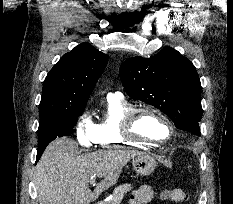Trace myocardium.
I'll return each mask as SVG.
<instances>
[{
  "label": "myocardium",
  "mask_w": 233,
  "mask_h": 204,
  "mask_svg": "<svg viewBox=\"0 0 233 204\" xmlns=\"http://www.w3.org/2000/svg\"><path fill=\"white\" fill-rule=\"evenodd\" d=\"M145 112L155 114L156 116H158L165 122L169 130V134L166 139L160 140V141L152 140V139L142 137L135 132L136 119L139 114L145 113ZM122 132H123L124 137L128 140L143 143L146 145H151V146H159V145L166 144L172 140L175 134V128L170 118L160 109L154 106H151V105H142L138 107H133L125 115L123 119V123H122Z\"/></svg>",
  "instance_id": "obj_1"
}]
</instances>
